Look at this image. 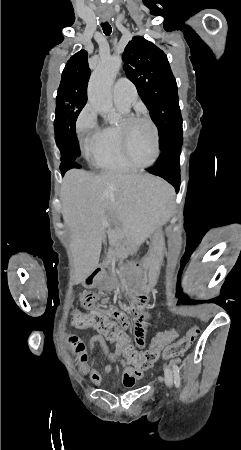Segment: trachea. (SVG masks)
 Instances as JSON below:
<instances>
[{"instance_id":"3493384b","label":"trachea","mask_w":241,"mask_h":450,"mask_svg":"<svg viewBox=\"0 0 241 450\" xmlns=\"http://www.w3.org/2000/svg\"><path fill=\"white\" fill-rule=\"evenodd\" d=\"M101 26H102L104 34L109 36L112 31V27L109 25V23L108 22L102 23Z\"/></svg>"}]
</instances>
